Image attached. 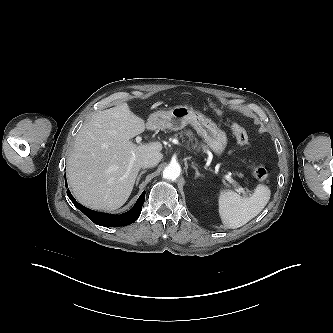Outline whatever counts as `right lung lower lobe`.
Masks as SVG:
<instances>
[{
    "mask_svg": "<svg viewBox=\"0 0 333 333\" xmlns=\"http://www.w3.org/2000/svg\"><path fill=\"white\" fill-rule=\"evenodd\" d=\"M67 187V182L65 183ZM67 195L69 196L72 203L77 207L81 212H83L91 221L97 225L108 226V227H120L126 226L138 219L140 216L142 205L145 200V191L140 195L137 202L133 208L120 215H112L107 213H100L93 210H90L81 204H79L74 197L71 195L70 191L67 190Z\"/></svg>",
    "mask_w": 333,
    "mask_h": 333,
    "instance_id": "1",
    "label": "right lung lower lobe"
}]
</instances>
